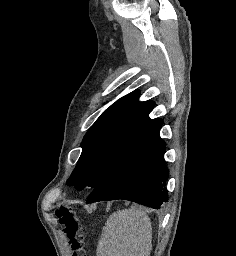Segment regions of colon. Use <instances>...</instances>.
I'll list each match as a JSON object with an SVG mask.
<instances>
[{"instance_id": "5ec220e1", "label": "colon", "mask_w": 236, "mask_h": 256, "mask_svg": "<svg viewBox=\"0 0 236 256\" xmlns=\"http://www.w3.org/2000/svg\"><path fill=\"white\" fill-rule=\"evenodd\" d=\"M56 217L70 245L71 256H86L77 207L71 204H61L56 211Z\"/></svg>"}]
</instances>
